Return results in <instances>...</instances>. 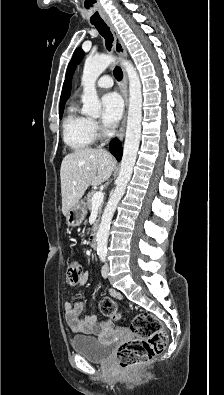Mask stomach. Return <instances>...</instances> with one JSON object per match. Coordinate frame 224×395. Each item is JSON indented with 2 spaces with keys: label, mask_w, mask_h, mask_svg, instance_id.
I'll return each mask as SVG.
<instances>
[{
  "label": "stomach",
  "mask_w": 224,
  "mask_h": 395,
  "mask_svg": "<svg viewBox=\"0 0 224 395\" xmlns=\"http://www.w3.org/2000/svg\"><path fill=\"white\" fill-rule=\"evenodd\" d=\"M86 216V207L83 201L75 204L66 214V224L68 227L79 226Z\"/></svg>",
  "instance_id": "stomach-1"
}]
</instances>
